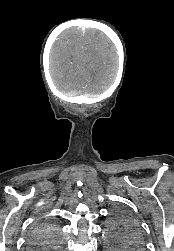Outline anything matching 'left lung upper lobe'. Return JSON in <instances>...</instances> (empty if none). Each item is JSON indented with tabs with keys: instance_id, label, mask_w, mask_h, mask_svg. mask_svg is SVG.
<instances>
[{
	"instance_id": "left-lung-upper-lobe-1",
	"label": "left lung upper lobe",
	"mask_w": 174,
	"mask_h": 251,
	"mask_svg": "<svg viewBox=\"0 0 174 251\" xmlns=\"http://www.w3.org/2000/svg\"><path fill=\"white\" fill-rule=\"evenodd\" d=\"M110 225V241L114 244L126 242L135 248L143 246V238L139 225L126 211L117 209L113 212Z\"/></svg>"
}]
</instances>
